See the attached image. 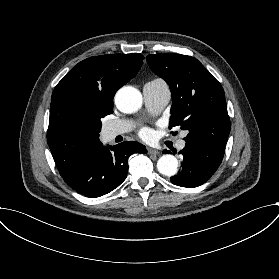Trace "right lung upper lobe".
Instances as JSON below:
<instances>
[{
  "instance_id": "right-lung-upper-lobe-1",
  "label": "right lung upper lobe",
  "mask_w": 279,
  "mask_h": 279,
  "mask_svg": "<svg viewBox=\"0 0 279 279\" xmlns=\"http://www.w3.org/2000/svg\"><path fill=\"white\" fill-rule=\"evenodd\" d=\"M143 58L141 54L90 57L56 85L47 142L60 174L75 168L102 145L100 113L113 106L116 91L136 76Z\"/></svg>"
}]
</instances>
